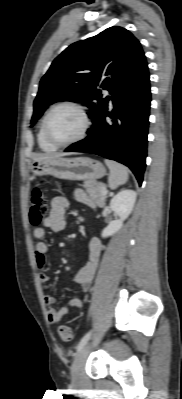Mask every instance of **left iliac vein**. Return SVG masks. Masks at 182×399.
<instances>
[{
    "instance_id": "left-iliac-vein-1",
    "label": "left iliac vein",
    "mask_w": 182,
    "mask_h": 399,
    "mask_svg": "<svg viewBox=\"0 0 182 399\" xmlns=\"http://www.w3.org/2000/svg\"><path fill=\"white\" fill-rule=\"evenodd\" d=\"M97 339L94 341L93 344L85 345L79 352L77 353L75 360L71 367V377L74 381H79L81 378V372L83 365L86 361V358L92 348L93 345H96Z\"/></svg>"
}]
</instances>
